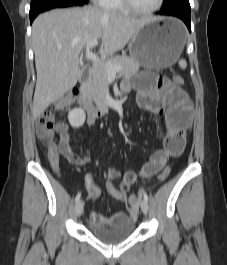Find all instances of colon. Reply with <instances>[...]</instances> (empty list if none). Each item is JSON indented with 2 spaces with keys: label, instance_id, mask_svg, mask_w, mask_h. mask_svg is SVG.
I'll list each match as a JSON object with an SVG mask.
<instances>
[{
  "label": "colon",
  "instance_id": "obj_1",
  "mask_svg": "<svg viewBox=\"0 0 227 265\" xmlns=\"http://www.w3.org/2000/svg\"><path fill=\"white\" fill-rule=\"evenodd\" d=\"M173 83L176 86H181L184 83V79L180 75H175L173 77ZM76 94L69 93L58 98L51 107L43 111L37 118V136L40 141L45 143L48 149H52L55 145L54 138V130H55V115L57 112L62 111L67 108L75 101ZM170 168L166 167L159 175L158 182H164L169 174ZM139 198L137 195H131L129 197V203L133 209H136L138 205Z\"/></svg>",
  "mask_w": 227,
  "mask_h": 265
}]
</instances>
